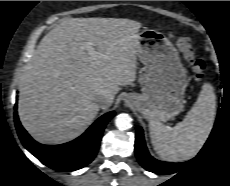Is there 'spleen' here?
I'll list each match as a JSON object with an SVG mask.
<instances>
[{"instance_id":"spleen-1","label":"spleen","mask_w":230,"mask_h":186,"mask_svg":"<svg viewBox=\"0 0 230 186\" xmlns=\"http://www.w3.org/2000/svg\"><path fill=\"white\" fill-rule=\"evenodd\" d=\"M216 116V96L209 83L202 86L197 101L182 122L174 127L151 120L149 131L156 153L163 159L178 162L197 155L205 144Z\"/></svg>"}]
</instances>
